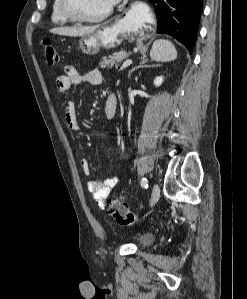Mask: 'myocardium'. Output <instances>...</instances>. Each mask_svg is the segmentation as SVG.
Here are the masks:
<instances>
[{"label":"myocardium","mask_w":247,"mask_h":299,"mask_svg":"<svg viewBox=\"0 0 247 299\" xmlns=\"http://www.w3.org/2000/svg\"><path fill=\"white\" fill-rule=\"evenodd\" d=\"M60 9L63 15L70 21L80 23H97L105 20L113 11V5L97 16L87 17L76 13L71 5V0H60Z\"/></svg>","instance_id":"1"}]
</instances>
